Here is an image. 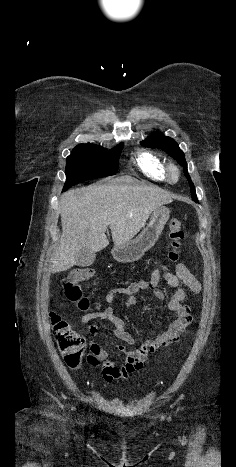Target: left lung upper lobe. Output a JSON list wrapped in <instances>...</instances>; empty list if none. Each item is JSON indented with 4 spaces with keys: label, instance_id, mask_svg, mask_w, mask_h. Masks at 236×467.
<instances>
[{
    "label": "left lung upper lobe",
    "instance_id": "1",
    "mask_svg": "<svg viewBox=\"0 0 236 467\" xmlns=\"http://www.w3.org/2000/svg\"><path fill=\"white\" fill-rule=\"evenodd\" d=\"M141 145L151 148H160L163 151H165L168 155L172 156L176 161H178V163L184 168L185 176L189 181L192 198L194 201L197 200L194 184L192 183L187 171V163L185 161L184 153L180 150L178 144L173 139L165 137L163 134H155L152 135L150 138H147L146 140L142 141Z\"/></svg>",
    "mask_w": 236,
    "mask_h": 467
}]
</instances>
